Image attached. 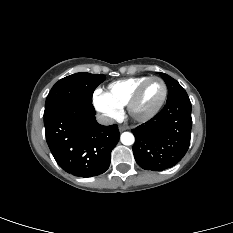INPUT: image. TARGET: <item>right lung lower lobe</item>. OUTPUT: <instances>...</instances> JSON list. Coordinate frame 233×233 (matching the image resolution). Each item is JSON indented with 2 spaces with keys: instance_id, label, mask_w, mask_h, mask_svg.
<instances>
[{
  "instance_id": "right-lung-lower-lobe-1",
  "label": "right lung lower lobe",
  "mask_w": 233,
  "mask_h": 233,
  "mask_svg": "<svg viewBox=\"0 0 233 233\" xmlns=\"http://www.w3.org/2000/svg\"><path fill=\"white\" fill-rule=\"evenodd\" d=\"M92 102L75 101L44 114L47 144L58 165L80 177L104 173L119 141L117 125L97 123Z\"/></svg>"
}]
</instances>
